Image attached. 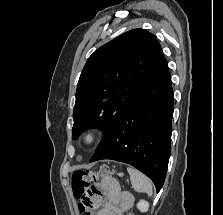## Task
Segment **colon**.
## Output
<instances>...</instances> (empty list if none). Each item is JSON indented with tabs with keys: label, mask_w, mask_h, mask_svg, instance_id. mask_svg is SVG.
I'll list each match as a JSON object with an SVG mask.
<instances>
[{
	"label": "colon",
	"mask_w": 223,
	"mask_h": 215,
	"mask_svg": "<svg viewBox=\"0 0 223 215\" xmlns=\"http://www.w3.org/2000/svg\"><path fill=\"white\" fill-rule=\"evenodd\" d=\"M110 173H112V171H110L106 166L101 167L96 173L83 170L75 171L71 180L75 197L81 201L86 193V190L99 176H106ZM82 210L87 211L88 208L85 205H82Z\"/></svg>",
	"instance_id": "5ec220e1"
}]
</instances>
